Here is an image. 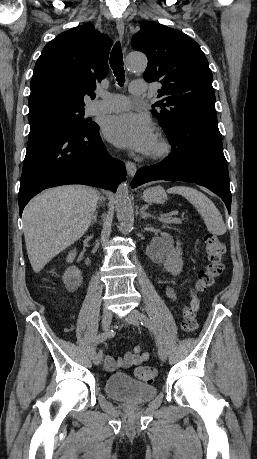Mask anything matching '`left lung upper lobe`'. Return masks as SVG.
<instances>
[{
    "label": "left lung upper lobe",
    "instance_id": "5c2ea615",
    "mask_svg": "<svg viewBox=\"0 0 257 459\" xmlns=\"http://www.w3.org/2000/svg\"><path fill=\"white\" fill-rule=\"evenodd\" d=\"M132 47L146 54L144 78L162 84V100L153 115L164 131L179 120L197 115H215L213 75L200 46L183 32L165 25L144 22L132 38Z\"/></svg>",
    "mask_w": 257,
    "mask_h": 459
}]
</instances>
